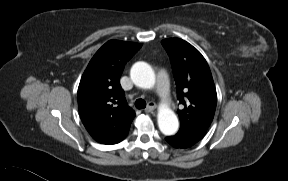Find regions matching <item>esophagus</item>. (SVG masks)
Listing matches in <instances>:
<instances>
[{"instance_id":"34e87169","label":"esophagus","mask_w":288,"mask_h":181,"mask_svg":"<svg viewBox=\"0 0 288 181\" xmlns=\"http://www.w3.org/2000/svg\"><path fill=\"white\" fill-rule=\"evenodd\" d=\"M156 108V104L154 102H149L147 107L145 108V112L149 113L154 111V109Z\"/></svg>"}]
</instances>
